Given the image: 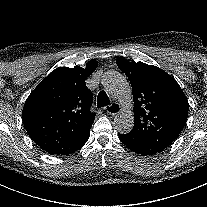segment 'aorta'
I'll list each match as a JSON object with an SVG mask.
<instances>
[{
    "instance_id": "obj_1",
    "label": "aorta",
    "mask_w": 207,
    "mask_h": 207,
    "mask_svg": "<svg viewBox=\"0 0 207 207\" xmlns=\"http://www.w3.org/2000/svg\"><path fill=\"white\" fill-rule=\"evenodd\" d=\"M102 85L123 105V109L114 118L115 129L122 134L129 133L134 126V117L131 110L132 91L128 80L119 72L107 71L102 76Z\"/></svg>"
}]
</instances>
